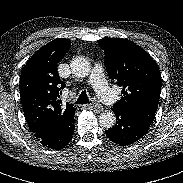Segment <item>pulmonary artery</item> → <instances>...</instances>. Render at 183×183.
Wrapping results in <instances>:
<instances>
[{"label":"pulmonary artery","instance_id":"e3ab8cb5","mask_svg":"<svg viewBox=\"0 0 183 183\" xmlns=\"http://www.w3.org/2000/svg\"><path fill=\"white\" fill-rule=\"evenodd\" d=\"M89 84L95 89L98 97L106 104H113L115 101V95L108 87L103 74V68L101 65L96 64L92 70L89 78Z\"/></svg>","mask_w":183,"mask_h":183}]
</instances>
